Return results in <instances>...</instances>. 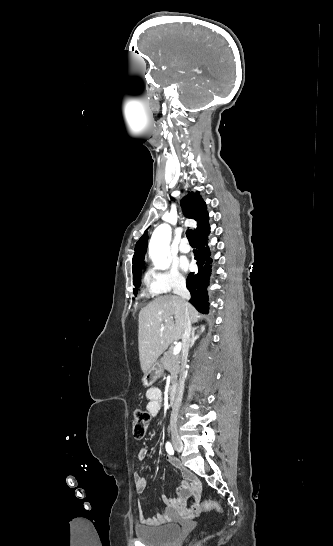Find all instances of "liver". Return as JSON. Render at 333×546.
Returning a JSON list of instances; mask_svg holds the SVG:
<instances>
[{
  "label": "liver",
  "instance_id": "1",
  "mask_svg": "<svg viewBox=\"0 0 333 546\" xmlns=\"http://www.w3.org/2000/svg\"><path fill=\"white\" fill-rule=\"evenodd\" d=\"M195 323L196 309L177 296H161L141 309L138 316V349L143 373L175 340L183 339L185 315Z\"/></svg>",
  "mask_w": 333,
  "mask_h": 546
}]
</instances>
